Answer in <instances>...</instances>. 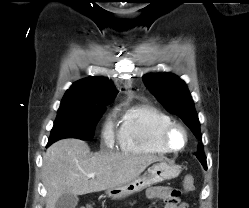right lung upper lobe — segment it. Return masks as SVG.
<instances>
[{
	"label": "right lung upper lobe",
	"instance_id": "obj_1",
	"mask_svg": "<svg viewBox=\"0 0 249 208\" xmlns=\"http://www.w3.org/2000/svg\"><path fill=\"white\" fill-rule=\"evenodd\" d=\"M118 91L103 77H88L75 82L65 93L61 106H98L111 103Z\"/></svg>",
	"mask_w": 249,
	"mask_h": 208
}]
</instances>
